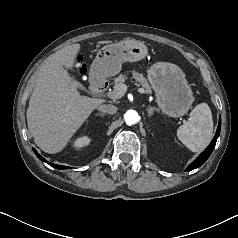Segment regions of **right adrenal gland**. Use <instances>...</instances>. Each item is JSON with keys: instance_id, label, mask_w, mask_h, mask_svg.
I'll list each match as a JSON object with an SVG mask.
<instances>
[{"instance_id": "1", "label": "right adrenal gland", "mask_w": 238, "mask_h": 238, "mask_svg": "<svg viewBox=\"0 0 238 238\" xmlns=\"http://www.w3.org/2000/svg\"><path fill=\"white\" fill-rule=\"evenodd\" d=\"M96 116L104 117V114H102V113H97Z\"/></svg>"}]
</instances>
